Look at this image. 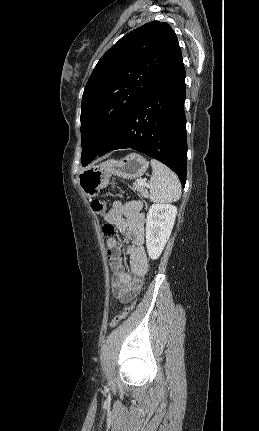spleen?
<instances>
[{
	"label": "spleen",
	"mask_w": 259,
	"mask_h": 431,
	"mask_svg": "<svg viewBox=\"0 0 259 431\" xmlns=\"http://www.w3.org/2000/svg\"><path fill=\"white\" fill-rule=\"evenodd\" d=\"M150 198L156 203H172L181 197V184L177 175L166 165L151 159Z\"/></svg>",
	"instance_id": "3e777b00"
}]
</instances>
